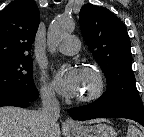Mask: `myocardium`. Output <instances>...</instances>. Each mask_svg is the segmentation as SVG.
Here are the masks:
<instances>
[{"label": "myocardium", "mask_w": 144, "mask_h": 137, "mask_svg": "<svg viewBox=\"0 0 144 137\" xmlns=\"http://www.w3.org/2000/svg\"><path fill=\"white\" fill-rule=\"evenodd\" d=\"M81 72L85 74H89L94 80V86L92 90L85 94L78 96V103H89L97 100L104 91L105 81L102 72L99 68L93 65H85L81 68Z\"/></svg>", "instance_id": "f54148a6"}]
</instances>
